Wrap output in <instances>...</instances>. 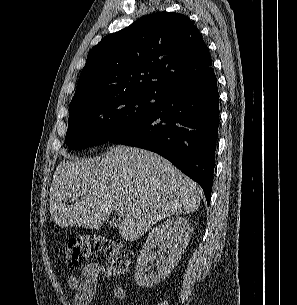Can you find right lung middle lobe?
<instances>
[{
  "label": "right lung middle lobe",
  "mask_w": 297,
  "mask_h": 305,
  "mask_svg": "<svg viewBox=\"0 0 297 305\" xmlns=\"http://www.w3.org/2000/svg\"><path fill=\"white\" fill-rule=\"evenodd\" d=\"M159 103V94L126 92L79 105L69 111L66 145L81 150L111 138L148 116Z\"/></svg>",
  "instance_id": "right-lung-middle-lobe-1"
}]
</instances>
